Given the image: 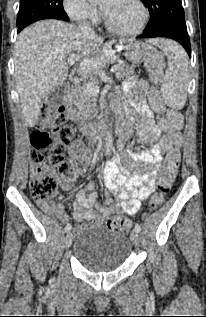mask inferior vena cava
I'll list each match as a JSON object with an SVG mask.
<instances>
[{
  "label": "inferior vena cava",
  "mask_w": 206,
  "mask_h": 317,
  "mask_svg": "<svg viewBox=\"0 0 206 317\" xmlns=\"http://www.w3.org/2000/svg\"><path fill=\"white\" fill-rule=\"evenodd\" d=\"M79 29L81 30L82 33L87 34V35H94V30L90 26L88 22H83L79 25Z\"/></svg>",
  "instance_id": "1"
}]
</instances>
